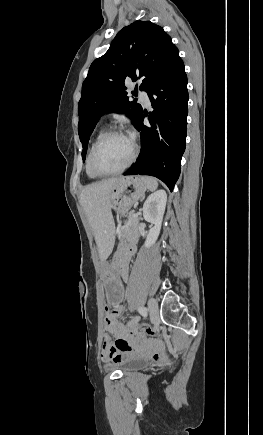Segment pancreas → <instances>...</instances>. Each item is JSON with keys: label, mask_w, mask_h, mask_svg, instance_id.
Masks as SVG:
<instances>
[{"label": "pancreas", "mask_w": 263, "mask_h": 435, "mask_svg": "<svg viewBox=\"0 0 263 435\" xmlns=\"http://www.w3.org/2000/svg\"><path fill=\"white\" fill-rule=\"evenodd\" d=\"M138 223H139L138 216L135 217L133 212H129L128 219L125 225L121 229L122 238L124 240L129 241V240L137 239L139 237L140 234L137 229Z\"/></svg>", "instance_id": "cf45deb5"}]
</instances>
